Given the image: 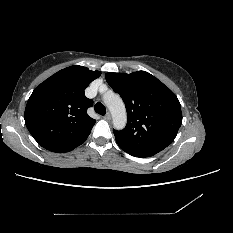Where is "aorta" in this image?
<instances>
[{
    "instance_id": "aorta-1",
    "label": "aorta",
    "mask_w": 233,
    "mask_h": 233,
    "mask_svg": "<svg viewBox=\"0 0 233 233\" xmlns=\"http://www.w3.org/2000/svg\"><path fill=\"white\" fill-rule=\"evenodd\" d=\"M104 102L110 110L113 118V125L116 129H123L127 122L125 105L118 94L105 96Z\"/></svg>"
}]
</instances>
